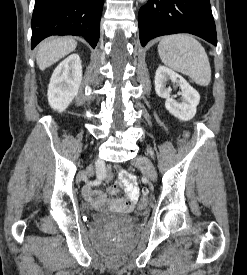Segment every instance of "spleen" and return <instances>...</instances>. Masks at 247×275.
I'll return each instance as SVG.
<instances>
[{"label":"spleen","mask_w":247,"mask_h":275,"mask_svg":"<svg viewBox=\"0 0 247 275\" xmlns=\"http://www.w3.org/2000/svg\"><path fill=\"white\" fill-rule=\"evenodd\" d=\"M161 61L169 68L189 76L196 84L207 86L211 67L201 43L187 34L168 35L158 44Z\"/></svg>","instance_id":"spleen-1"}]
</instances>
